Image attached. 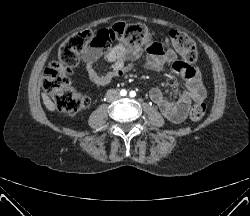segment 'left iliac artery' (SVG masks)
I'll list each match as a JSON object with an SVG mask.
<instances>
[{"mask_svg": "<svg viewBox=\"0 0 250 216\" xmlns=\"http://www.w3.org/2000/svg\"><path fill=\"white\" fill-rule=\"evenodd\" d=\"M129 95H130V97H135V96H136V92H135V91H131V92L129 93Z\"/></svg>", "mask_w": 250, "mask_h": 216, "instance_id": "1", "label": "left iliac artery"}]
</instances>
